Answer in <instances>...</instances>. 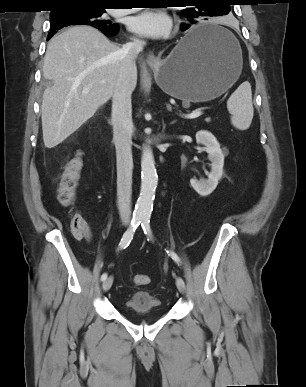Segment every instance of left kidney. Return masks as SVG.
<instances>
[{
    "instance_id": "obj_1",
    "label": "left kidney",
    "mask_w": 306,
    "mask_h": 387,
    "mask_svg": "<svg viewBox=\"0 0 306 387\" xmlns=\"http://www.w3.org/2000/svg\"><path fill=\"white\" fill-rule=\"evenodd\" d=\"M196 141L202 144L211 161V171L208 174V179L197 180L191 179L190 183L193 189L201 196H208L218 185L219 179L223 174L224 155L215 136L209 131L201 130L196 133Z\"/></svg>"
}]
</instances>
